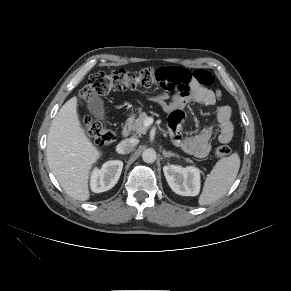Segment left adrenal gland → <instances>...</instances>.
Instances as JSON below:
<instances>
[{
	"instance_id": "a2214340",
	"label": "left adrenal gland",
	"mask_w": 291,
	"mask_h": 291,
	"mask_svg": "<svg viewBox=\"0 0 291 291\" xmlns=\"http://www.w3.org/2000/svg\"><path fill=\"white\" fill-rule=\"evenodd\" d=\"M163 156L164 157H179L177 154H175V153H172V152H170V151H165V150H163Z\"/></svg>"
}]
</instances>
